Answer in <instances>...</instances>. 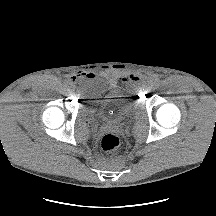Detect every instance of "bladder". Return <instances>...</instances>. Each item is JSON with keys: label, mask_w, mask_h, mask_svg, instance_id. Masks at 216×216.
<instances>
[{"label": "bladder", "mask_w": 216, "mask_h": 216, "mask_svg": "<svg viewBox=\"0 0 216 216\" xmlns=\"http://www.w3.org/2000/svg\"><path fill=\"white\" fill-rule=\"evenodd\" d=\"M88 109L97 113L99 120L105 124L116 125L137 110V102L114 87L105 89L85 88Z\"/></svg>", "instance_id": "bladder-1"}]
</instances>
